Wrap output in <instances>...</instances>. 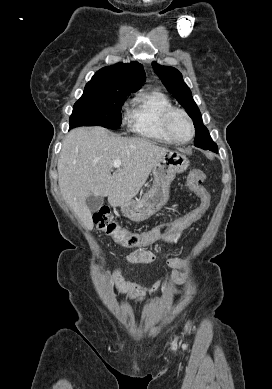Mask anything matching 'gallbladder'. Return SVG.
<instances>
[{
	"instance_id": "bac80fb5",
	"label": "gallbladder",
	"mask_w": 272,
	"mask_h": 389,
	"mask_svg": "<svg viewBox=\"0 0 272 389\" xmlns=\"http://www.w3.org/2000/svg\"><path fill=\"white\" fill-rule=\"evenodd\" d=\"M104 198L102 196H95L89 194L86 198V205L92 213L97 212L103 205Z\"/></svg>"
}]
</instances>
